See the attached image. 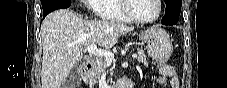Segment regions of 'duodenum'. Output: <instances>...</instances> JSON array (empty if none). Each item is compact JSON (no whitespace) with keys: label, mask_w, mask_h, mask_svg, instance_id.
Instances as JSON below:
<instances>
[{"label":"duodenum","mask_w":227,"mask_h":88,"mask_svg":"<svg viewBox=\"0 0 227 88\" xmlns=\"http://www.w3.org/2000/svg\"><path fill=\"white\" fill-rule=\"evenodd\" d=\"M94 62H95L94 59H88V60L84 61L82 63V67H81L82 71L83 72L87 71L89 68H91L93 66ZM123 84H124V81H122V80L118 81L117 84L114 85L112 88H120V87H122Z\"/></svg>","instance_id":"duodenum-1"}]
</instances>
